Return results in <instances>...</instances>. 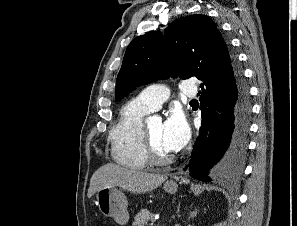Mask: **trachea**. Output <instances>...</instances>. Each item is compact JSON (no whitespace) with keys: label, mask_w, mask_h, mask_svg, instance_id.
Returning a JSON list of instances; mask_svg holds the SVG:
<instances>
[{"label":"trachea","mask_w":297,"mask_h":226,"mask_svg":"<svg viewBox=\"0 0 297 226\" xmlns=\"http://www.w3.org/2000/svg\"><path fill=\"white\" fill-rule=\"evenodd\" d=\"M195 102H197V100H196V99H193V100H191V103H195Z\"/></svg>","instance_id":"1"}]
</instances>
